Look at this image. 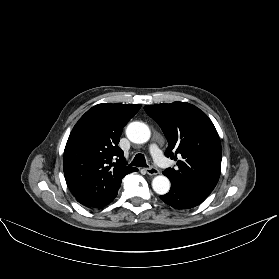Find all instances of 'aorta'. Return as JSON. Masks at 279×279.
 <instances>
[{
  "label": "aorta",
  "mask_w": 279,
  "mask_h": 279,
  "mask_svg": "<svg viewBox=\"0 0 279 279\" xmlns=\"http://www.w3.org/2000/svg\"><path fill=\"white\" fill-rule=\"evenodd\" d=\"M126 135L131 142L142 144L150 139L151 132L145 123L132 122L127 126ZM152 188L157 194L164 195L170 190V181L164 175L156 176L152 180Z\"/></svg>",
  "instance_id": "1"
}]
</instances>
